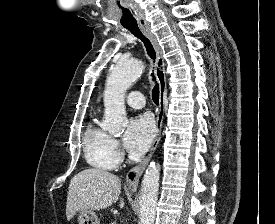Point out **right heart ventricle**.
I'll use <instances>...</instances> for the list:
<instances>
[{"mask_svg":"<svg viewBox=\"0 0 275 224\" xmlns=\"http://www.w3.org/2000/svg\"><path fill=\"white\" fill-rule=\"evenodd\" d=\"M86 162L99 170H112L119 164V156L113 145L112 136L99 126L96 118L88 124L83 138Z\"/></svg>","mask_w":275,"mask_h":224,"instance_id":"obj_1","label":"right heart ventricle"}]
</instances>
